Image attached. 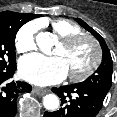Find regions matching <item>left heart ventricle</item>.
Wrapping results in <instances>:
<instances>
[{
  "mask_svg": "<svg viewBox=\"0 0 117 117\" xmlns=\"http://www.w3.org/2000/svg\"><path fill=\"white\" fill-rule=\"evenodd\" d=\"M55 55L62 58L68 72H80L93 60V48L89 41L83 40L71 49H65L62 44L58 46Z\"/></svg>",
  "mask_w": 117,
  "mask_h": 117,
  "instance_id": "obj_1",
  "label": "left heart ventricle"
}]
</instances>
